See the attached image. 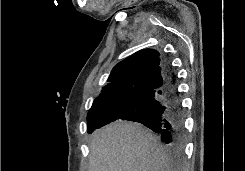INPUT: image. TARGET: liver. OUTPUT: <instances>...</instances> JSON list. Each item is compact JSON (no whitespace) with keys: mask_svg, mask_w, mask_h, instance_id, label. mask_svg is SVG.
Wrapping results in <instances>:
<instances>
[{"mask_svg":"<svg viewBox=\"0 0 245 171\" xmlns=\"http://www.w3.org/2000/svg\"><path fill=\"white\" fill-rule=\"evenodd\" d=\"M88 171H176L153 134L118 121L93 134Z\"/></svg>","mask_w":245,"mask_h":171,"instance_id":"obj_1","label":"liver"}]
</instances>
